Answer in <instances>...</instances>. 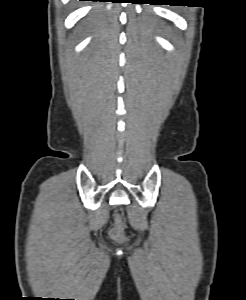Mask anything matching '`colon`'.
<instances>
[{"label": "colon", "instance_id": "1", "mask_svg": "<svg viewBox=\"0 0 246 300\" xmlns=\"http://www.w3.org/2000/svg\"><path fill=\"white\" fill-rule=\"evenodd\" d=\"M123 230H124L123 220L117 214L115 216V224L109 231V236L115 241H120L123 239Z\"/></svg>", "mask_w": 246, "mask_h": 300}]
</instances>
